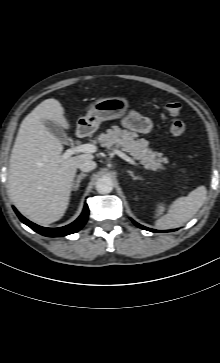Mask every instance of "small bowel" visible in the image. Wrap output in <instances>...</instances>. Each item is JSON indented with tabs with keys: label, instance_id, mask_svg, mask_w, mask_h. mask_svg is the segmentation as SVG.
Here are the masks:
<instances>
[{
	"label": "small bowel",
	"instance_id": "obj_1",
	"mask_svg": "<svg viewBox=\"0 0 220 363\" xmlns=\"http://www.w3.org/2000/svg\"><path fill=\"white\" fill-rule=\"evenodd\" d=\"M123 124L128 129L143 134L150 132L152 129L151 120L137 112L129 113L124 118Z\"/></svg>",
	"mask_w": 220,
	"mask_h": 363
}]
</instances>
